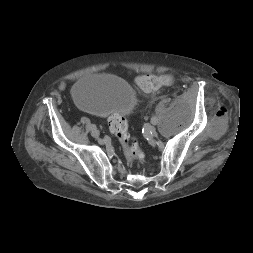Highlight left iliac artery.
Wrapping results in <instances>:
<instances>
[{"label":"left iliac artery","mask_w":253,"mask_h":253,"mask_svg":"<svg viewBox=\"0 0 253 253\" xmlns=\"http://www.w3.org/2000/svg\"><path fill=\"white\" fill-rule=\"evenodd\" d=\"M151 122H152V124H157L158 123V119L156 117H152L151 118Z\"/></svg>","instance_id":"44dca946"}]
</instances>
